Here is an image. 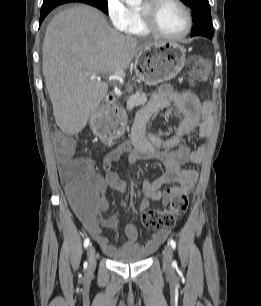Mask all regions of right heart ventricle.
<instances>
[{"label":"right heart ventricle","mask_w":261,"mask_h":306,"mask_svg":"<svg viewBox=\"0 0 261 306\" xmlns=\"http://www.w3.org/2000/svg\"><path fill=\"white\" fill-rule=\"evenodd\" d=\"M128 23L125 33L136 37H149L152 33L145 27L139 7L131 6L128 8Z\"/></svg>","instance_id":"e07e8e85"}]
</instances>
